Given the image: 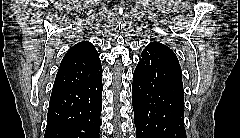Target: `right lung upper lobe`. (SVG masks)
I'll list each match as a JSON object with an SVG mask.
<instances>
[{"mask_svg": "<svg viewBox=\"0 0 240 138\" xmlns=\"http://www.w3.org/2000/svg\"><path fill=\"white\" fill-rule=\"evenodd\" d=\"M100 74L102 66L95 47L88 41L79 42L62 59L52 94L90 83Z\"/></svg>", "mask_w": 240, "mask_h": 138, "instance_id": "obj_1", "label": "right lung upper lobe"}]
</instances>
